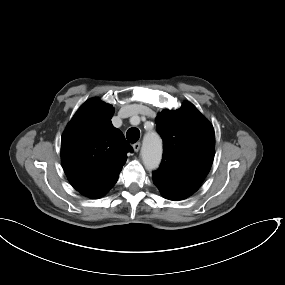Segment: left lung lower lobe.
<instances>
[{"label":"left lung lower lobe","instance_id":"1","mask_svg":"<svg viewBox=\"0 0 285 285\" xmlns=\"http://www.w3.org/2000/svg\"><path fill=\"white\" fill-rule=\"evenodd\" d=\"M152 176L163 197L173 201L191 196L200 187V184L176 178L160 170L153 172Z\"/></svg>","mask_w":285,"mask_h":285}]
</instances>
